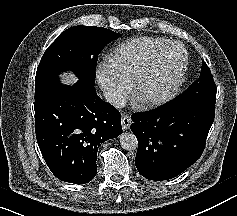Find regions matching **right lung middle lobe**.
<instances>
[{
  "mask_svg": "<svg viewBox=\"0 0 237 216\" xmlns=\"http://www.w3.org/2000/svg\"><path fill=\"white\" fill-rule=\"evenodd\" d=\"M120 34L95 26H74L65 30L45 51L35 77V101L43 99L59 83V74L73 71L79 81L95 83L98 55Z\"/></svg>",
  "mask_w": 237,
  "mask_h": 216,
  "instance_id": "obj_1",
  "label": "right lung middle lobe"
}]
</instances>
